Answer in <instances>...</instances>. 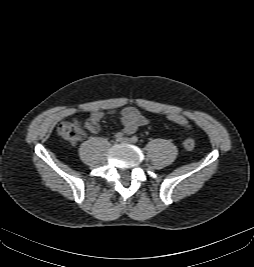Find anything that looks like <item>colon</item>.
Here are the masks:
<instances>
[{
	"instance_id": "5ec220e1",
	"label": "colon",
	"mask_w": 254,
	"mask_h": 267,
	"mask_svg": "<svg viewBox=\"0 0 254 267\" xmlns=\"http://www.w3.org/2000/svg\"><path fill=\"white\" fill-rule=\"evenodd\" d=\"M168 118L170 121L176 124H179L185 128H190L188 120L182 115L170 114ZM93 125L94 124L91 120H88L85 126H83L78 120L74 119L71 121L62 122L58 126V133L66 141L70 143H78L86 136L85 128L90 129L93 127ZM183 147L188 151H192L195 148V141L192 138H186L183 141Z\"/></svg>"
}]
</instances>
